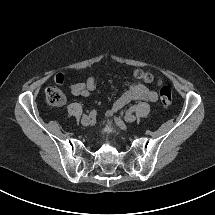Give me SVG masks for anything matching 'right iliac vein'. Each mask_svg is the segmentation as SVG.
Instances as JSON below:
<instances>
[{
    "mask_svg": "<svg viewBox=\"0 0 215 215\" xmlns=\"http://www.w3.org/2000/svg\"><path fill=\"white\" fill-rule=\"evenodd\" d=\"M92 117L90 116H87V115H84L81 119V124L84 125V126H88L91 124L92 122Z\"/></svg>",
    "mask_w": 215,
    "mask_h": 215,
    "instance_id": "obj_1",
    "label": "right iliac vein"
}]
</instances>
